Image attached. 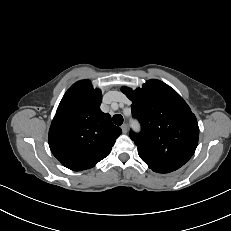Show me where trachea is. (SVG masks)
Here are the masks:
<instances>
[{"label":"trachea","mask_w":231,"mask_h":231,"mask_svg":"<svg viewBox=\"0 0 231 231\" xmlns=\"http://www.w3.org/2000/svg\"><path fill=\"white\" fill-rule=\"evenodd\" d=\"M112 119L113 122L118 126L122 125L123 123V116L121 114H115Z\"/></svg>","instance_id":"1"}]
</instances>
